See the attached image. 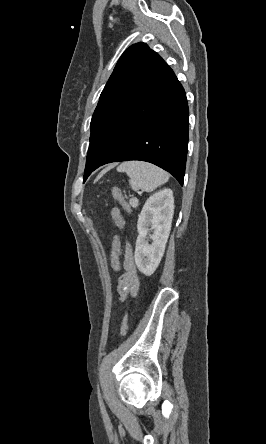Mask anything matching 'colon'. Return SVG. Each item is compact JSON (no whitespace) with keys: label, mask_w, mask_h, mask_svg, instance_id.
Returning <instances> with one entry per match:
<instances>
[{"label":"colon","mask_w":266,"mask_h":444,"mask_svg":"<svg viewBox=\"0 0 266 444\" xmlns=\"http://www.w3.org/2000/svg\"><path fill=\"white\" fill-rule=\"evenodd\" d=\"M113 196L126 211L129 210V205L124 200L123 193L119 187L113 189ZM112 219L118 228L123 227V218L121 216L120 210L114 207L111 211ZM121 256H122V245L118 236L115 237L113 241V246L110 255V266L113 273H118L121 267ZM129 328V316L126 314L122 320L120 326V335L125 336Z\"/></svg>","instance_id":"5ec220e1"}]
</instances>
